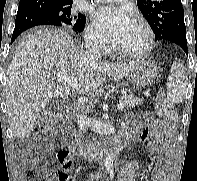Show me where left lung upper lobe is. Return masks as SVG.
<instances>
[{"mask_svg":"<svg viewBox=\"0 0 197 181\" xmlns=\"http://www.w3.org/2000/svg\"><path fill=\"white\" fill-rule=\"evenodd\" d=\"M137 6L147 19L156 40H171L186 34L181 0H137Z\"/></svg>","mask_w":197,"mask_h":181,"instance_id":"obj_1","label":"left lung upper lobe"}]
</instances>
